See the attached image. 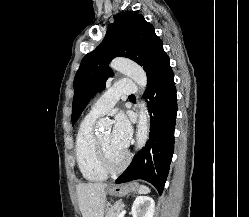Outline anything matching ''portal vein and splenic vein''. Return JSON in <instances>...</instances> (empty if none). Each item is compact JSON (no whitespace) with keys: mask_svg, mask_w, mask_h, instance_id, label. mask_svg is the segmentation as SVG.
Wrapping results in <instances>:
<instances>
[{"mask_svg":"<svg viewBox=\"0 0 249 217\" xmlns=\"http://www.w3.org/2000/svg\"><path fill=\"white\" fill-rule=\"evenodd\" d=\"M125 213H126V211H125V210H122V211L119 213L118 217H124Z\"/></svg>","mask_w":249,"mask_h":217,"instance_id":"obj_1","label":"portal vein and splenic vein"}]
</instances>
